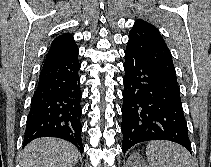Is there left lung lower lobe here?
<instances>
[{"label": "left lung lower lobe", "mask_w": 211, "mask_h": 167, "mask_svg": "<svg viewBox=\"0 0 211 167\" xmlns=\"http://www.w3.org/2000/svg\"><path fill=\"white\" fill-rule=\"evenodd\" d=\"M122 151L149 140H169L191 152L178 83L148 60L125 51Z\"/></svg>", "instance_id": "obj_1"}]
</instances>
